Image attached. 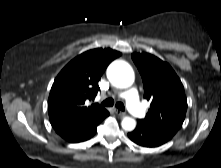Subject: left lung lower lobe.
Instances as JSON below:
<instances>
[{
    "instance_id": "0a47b994",
    "label": "left lung lower lobe",
    "mask_w": 221,
    "mask_h": 168,
    "mask_svg": "<svg viewBox=\"0 0 221 168\" xmlns=\"http://www.w3.org/2000/svg\"><path fill=\"white\" fill-rule=\"evenodd\" d=\"M128 137L140 146L154 148L169 141L173 135L138 120L137 127L128 133Z\"/></svg>"
}]
</instances>
